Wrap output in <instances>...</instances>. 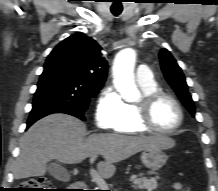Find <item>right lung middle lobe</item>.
Returning a JSON list of instances; mask_svg holds the SVG:
<instances>
[{
    "label": "right lung middle lobe",
    "mask_w": 218,
    "mask_h": 191,
    "mask_svg": "<svg viewBox=\"0 0 218 191\" xmlns=\"http://www.w3.org/2000/svg\"><path fill=\"white\" fill-rule=\"evenodd\" d=\"M101 87L64 68L45 64L34 94L33 106L55 103L84 113L90 99L98 94Z\"/></svg>",
    "instance_id": "right-lung-middle-lobe-1"
}]
</instances>
